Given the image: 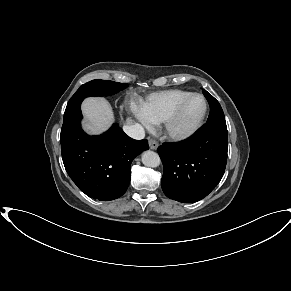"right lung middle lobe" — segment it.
<instances>
[{
	"label": "right lung middle lobe",
	"instance_id": "1",
	"mask_svg": "<svg viewBox=\"0 0 291 291\" xmlns=\"http://www.w3.org/2000/svg\"><path fill=\"white\" fill-rule=\"evenodd\" d=\"M126 83H118L108 80H92L82 86L69 100L64 118H76L80 114V105L84 98L89 96H109L126 88Z\"/></svg>",
	"mask_w": 291,
	"mask_h": 291
}]
</instances>
